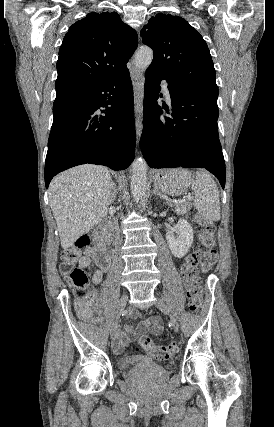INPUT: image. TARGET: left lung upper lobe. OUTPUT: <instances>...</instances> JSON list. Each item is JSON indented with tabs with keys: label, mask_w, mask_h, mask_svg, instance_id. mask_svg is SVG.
Returning <instances> with one entry per match:
<instances>
[{
	"label": "left lung upper lobe",
	"mask_w": 274,
	"mask_h": 427,
	"mask_svg": "<svg viewBox=\"0 0 274 427\" xmlns=\"http://www.w3.org/2000/svg\"><path fill=\"white\" fill-rule=\"evenodd\" d=\"M154 51L148 70L184 88L218 96L215 69L203 37L183 18L158 13L140 33Z\"/></svg>",
	"instance_id": "5c2ea615"
}]
</instances>
